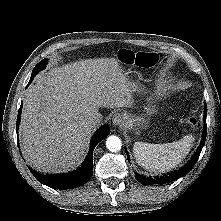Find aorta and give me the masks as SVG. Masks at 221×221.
Returning a JSON list of instances; mask_svg holds the SVG:
<instances>
[{
  "mask_svg": "<svg viewBox=\"0 0 221 221\" xmlns=\"http://www.w3.org/2000/svg\"><path fill=\"white\" fill-rule=\"evenodd\" d=\"M106 147L111 152H117L122 147L121 139L118 136L111 135L106 140Z\"/></svg>",
  "mask_w": 221,
  "mask_h": 221,
  "instance_id": "aorta-1",
  "label": "aorta"
}]
</instances>
